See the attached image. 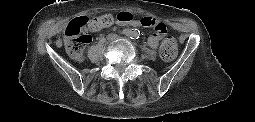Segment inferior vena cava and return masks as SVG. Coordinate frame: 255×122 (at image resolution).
<instances>
[{
    "mask_svg": "<svg viewBox=\"0 0 255 122\" xmlns=\"http://www.w3.org/2000/svg\"><path fill=\"white\" fill-rule=\"evenodd\" d=\"M108 37L110 39H116L117 38V35L116 34H109Z\"/></svg>",
    "mask_w": 255,
    "mask_h": 122,
    "instance_id": "602c4592",
    "label": "inferior vena cava"
}]
</instances>
